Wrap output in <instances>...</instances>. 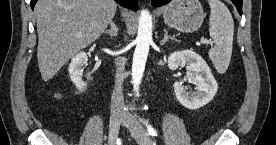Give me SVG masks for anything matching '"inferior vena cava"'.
<instances>
[{
	"label": "inferior vena cava",
	"instance_id": "inferior-vena-cava-1",
	"mask_svg": "<svg viewBox=\"0 0 276 145\" xmlns=\"http://www.w3.org/2000/svg\"><path fill=\"white\" fill-rule=\"evenodd\" d=\"M126 60L123 58L115 59L116 75H115V87L111 96V115L121 116L123 115L124 99L122 84L125 78Z\"/></svg>",
	"mask_w": 276,
	"mask_h": 145
}]
</instances>
